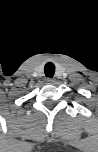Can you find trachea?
I'll use <instances>...</instances> for the list:
<instances>
[{"instance_id":"trachea-1","label":"trachea","mask_w":98,"mask_h":152,"mask_svg":"<svg viewBox=\"0 0 98 152\" xmlns=\"http://www.w3.org/2000/svg\"><path fill=\"white\" fill-rule=\"evenodd\" d=\"M45 75L49 78H52L55 73V65L51 62H48L44 67Z\"/></svg>"}]
</instances>
